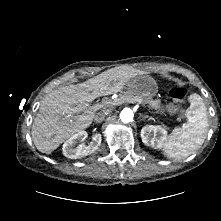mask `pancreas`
I'll list each match as a JSON object with an SVG mask.
<instances>
[{"label": "pancreas", "instance_id": "obj_1", "mask_svg": "<svg viewBox=\"0 0 221 221\" xmlns=\"http://www.w3.org/2000/svg\"><path fill=\"white\" fill-rule=\"evenodd\" d=\"M123 98L127 101H131L132 99H140L142 103L147 104L150 109H158L160 107V100H154L149 95H137L134 96L133 94H125Z\"/></svg>", "mask_w": 221, "mask_h": 221}]
</instances>
